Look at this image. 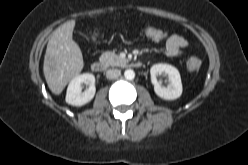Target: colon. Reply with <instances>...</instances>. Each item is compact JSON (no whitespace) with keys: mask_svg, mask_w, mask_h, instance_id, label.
<instances>
[{"mask_svg":"<svg viewBox=\"0 0 248 165\" xmlns=\"http://www.w3.org/2000/svg\"><path fill=\"white\" fill-rule=\"evenodd\" d=\"M145 33L149 36L152 40H161L166 36V33L162 30L148 27L145 29ZM201 60L197 57H191L188 59L186 66L187 69L190 71H197L201 67Z\"/></svg>","mask_w":248,"mask_h":165,"instance_id":"obj_1","label":"colon"}]
</instances>
